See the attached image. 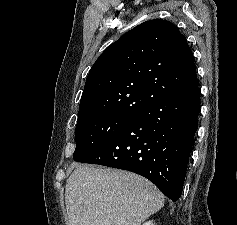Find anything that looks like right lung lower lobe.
Instances as JSON below:
<instances>
[{"label":"right lung lower lobe","mask_w":237,"mask_h":225,"mask_svg":"<svg viewBox=\"0 0 237 225\" xmlns=\"http://www.w3.org/2000/svg\"><path fill=\"white\" fill-rule=\"evenodd\" d=\"M200 93L196 85L151 103L78 162L137 173L177 201L198 128Z\"/></svg>","instance_id":"obj_1"}]
</instances>
